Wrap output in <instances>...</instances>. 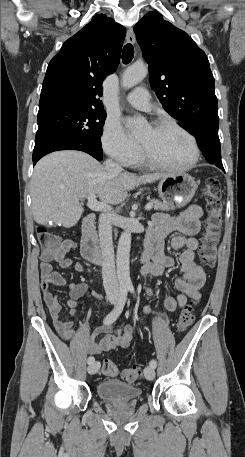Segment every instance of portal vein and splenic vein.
Instances as JSON below:
<instances>
[{"mask_svg": "<svg viewBox=\"0 0 245 457\" xmlns=\"http://www.w3.org/2000/svg\"><path fill=\"white\" fill-rule=\"evenodd\" d=\"M87 206H89L91 210H111L110 204H106V202H99V200H97L95 192L89 194ZM152 206L153 202H148V204H145L146 210H150Z\"/></svg>", "mask_w": 245, "mask_h": 457, "instance_id": "1", "label": "portal vein and splenic vein"}]
</instances>
